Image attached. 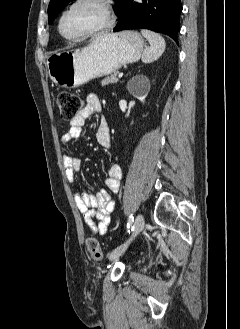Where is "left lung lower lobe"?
I'll return each instance as SVG.
<instances>
[{"mask_svg":"<svg viewBox=\"0 0 240 329\" xmlns=\"http://www.w3.org/2000/svg\"><path fill=\"white\" fill-rule=\"evenodd\" d=\"M181 0H126L114 32L149 29L170 36L177 44Z\"/></svg>","mask_w":240,"mask_h":329,"instance_id":"0a47b994","label":"left lung lower lobe"}]
</instances>
